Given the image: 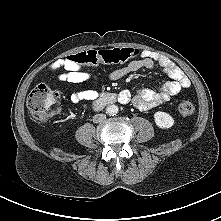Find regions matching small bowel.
I'll list each match as a JSON object with an SVG mask.
<instances>
[{"label":"small bowel","instance_id":"obj_1","mask_svg":"<svg viewBox=\"0 0 221 221\" xmlns=\"http://www.w3.org/2000/svg\"><path fill=\"white\" fill-rule=\"evenodd\" d=\"M143 68H159L168 75L170 80L161 84L156 90L140 88L136 90L134 94H131L127 90L120 93V96L126 99L124 103L131 102L134 107L140 110H149L163 104L172 96L178 94L182 89H186L190 86L189 78L180 67L169 58L152 51L141 52L138 59L132 60L125 66L112 70L109 72L108 77L110 80H119ZM52 69L55 71L61 69L66 70L58 75L60 82L82 83L87 80H96L94 76L83 71L79 66L70 64L67 59L57 60L53 63ZM98 97L99 92L96 89H87L72 93L70 100L72 103L77 104L81 102H92L97 100Z\"/></svg>","mask_w":221,"mask_h":221}]
</instances>
